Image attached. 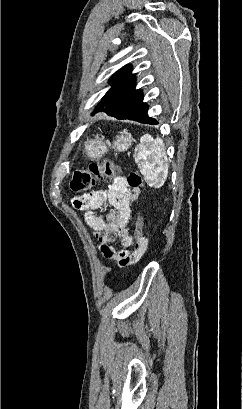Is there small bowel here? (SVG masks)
I'll list each match as a JSON object with an SVG mask.
<instances>
[{"mask_svg": "<svg viewBox=\"0 0 243 409\" xmlns=\"http://www.w3.org/2000/svg\"><path fill=\"white\" fill-rule=\"evenodd\" d=\"M140 194L139 189L129 187L126 179L120 178L108 187L81 195L74 199V205L85 210V220L99 241V249L105 259L115 261L119 266L137 262L147 248L145 238L138 251L128 249L133 244V238L127 227L131 216V203ZM105 205H111L112 210L104 218L95 213ZM120 241V247L110 244Z\"/></svg>", "mask_w": 243, "mask_h": 409, "instance_id": "c3829d8e", "label": "small bowel"}]
</instances>
